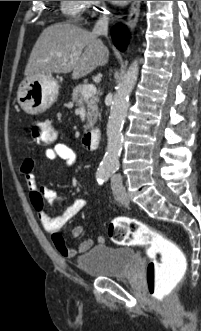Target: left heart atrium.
Wrapping results in <instances>:
<instances>
[{
    "mask_svg": "<svg viewBox=\"0 0 201 331\" xmlns=\"http://www.w3.org/2000/svg\"><path fill=\"white\" fill-rule=\"evenodd\" d=\"M112 2L122 5L128 3L129 1H112Z\"/></svg>",
    "mask_w": 201,
    "mask_h": 331,
    "instance_id": "39dd6f15",
    "label": "left heart atrium"
}]
</instances>
